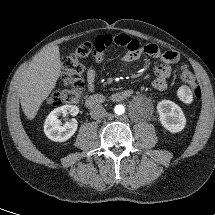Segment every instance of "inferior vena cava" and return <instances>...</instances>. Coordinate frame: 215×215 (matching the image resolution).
<instances>
[{"instance_id": "inferior-vena-cava-1", "label": "inferior vena cava", "mask_w": 215, "mask_h": 215, "mask_svg": "<svg viewBox=\"0 0 215 215\" xmlns=\"http://www.w3.org/2000/svg\"><path fill=\"white\" fill-rule=\"evenodd\" d=\"M90 115L93 119H100L106 115V110L102 105L96 104L91 107Z\"/></svg>"}]
</instances>
